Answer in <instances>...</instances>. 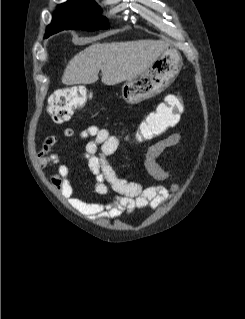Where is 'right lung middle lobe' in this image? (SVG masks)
<instances>
[{"instance_id": "dd1d6c3e", "label": "right lung middle lobe", "mask_w": 245, "mask_h": 319, "mask_svg": "<svg viewBox=\"0 0 245 319\" xmlns=\"http://www.w3.org/2000/svg\"><path fill=\"white\" fill-rule=\"evenodd\" d=\"M102 10L94 0H69L58 6L47 34L63 29H82L96 31L109 28L106 18L101 16Z\"/></svg>"}]
</instances>
